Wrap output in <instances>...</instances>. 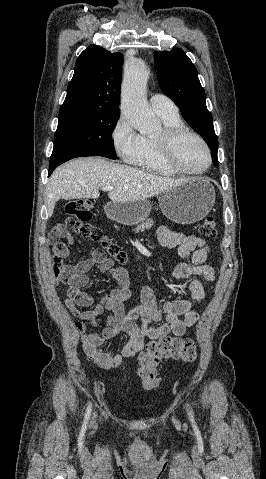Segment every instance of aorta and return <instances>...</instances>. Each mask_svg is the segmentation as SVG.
<instances>
[{"label":"aorta","mask_w":266,"mask_h":479,"mask_svg":"<svg viewBox=\"0 0 266 479\" xmlns=\"http://www.w3.org/2000/svg\"><path fill=\"white\" fill-rule=\"evenodd\" d=\"M149 70L140 59H132L125 67L121 89V112L126 120L143 134L153 133L160 121L150 109L145 89Z\"/></svg>","instance_id":"1"}]
</instances>
